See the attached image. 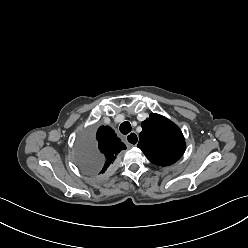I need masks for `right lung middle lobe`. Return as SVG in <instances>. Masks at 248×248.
<instances>
[{"label":"right lung middle lobe","instance_id":"right-lung-middle-lobe-1","mask_svg":"<svg viewBox=\"0 0 248 248\" xmlns=\"http://www.w3.org/2000/svg\"><path fill=\"white\" fill-rule=\"evenodd\" d=\"M77 163L86 173L97 175L102 170L104 159L93 141L80 138L77 146Z\"/></svg>","mask_w":248,"mask_h":248}]
</instances>
